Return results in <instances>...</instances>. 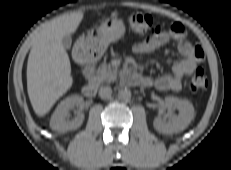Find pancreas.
<instances>
[{
    "mask_svg": "<svg viewBox=\"0 0 231 170\" xmlns=\"http://www.w3.org/2000/svg\"><path fill=\"white\" fill-rule=\"evenodd\" d=\"M117 76V68L106 63L102 64L95 73V79H97L99 82H112L117 78Z\"/></svg>",
    "mask_w": 231,
    "mask_h": 170,
    "instance_id": "1",
    "label": "pancreas"
}]
</instances>
